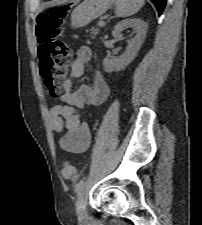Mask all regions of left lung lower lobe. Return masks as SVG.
Segmentation results:
<instances>
[{"instance_id": "obj_1", "label": "left lung lower lobe", "mask_w": 202, "mask_h": 225, "mask_svg": "<svg viewBox=\"0 0 202 225\" xmlns=\"http://www.w3.org/2000/svg\"><path fill=\"white\" fill-rule=\"evenodd\" d=\"M154 5L156 6V9L158 10V13L161 14L164 10L166 0H151Z\"/></svg>"}]
</instances>
